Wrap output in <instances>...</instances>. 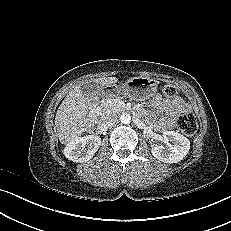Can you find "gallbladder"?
<instances>
[{"label": "gallbladder", "mask_w": 231, "mask_h": 231, "mask_svg": "<svg viewBox=\"0 0 231 231\" xmlns=\"http://www.w3.org/2000/svg\"><path fill=\"white\" fill-rule=\"evenodd\" d=\"M81 91L85 96H93L101 91V86L94 81H89L81 86Z\"/></svg>", "instance_id": "1"}]
</instances>
